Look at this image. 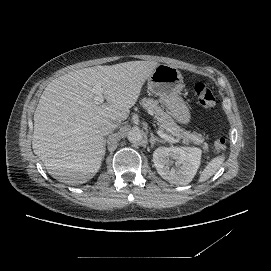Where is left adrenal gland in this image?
<instances>
[{"instance_id":"obj_1","label":"left adrenal gland","mask_w":271,"mask_h":271,"mask_svg":"<svg viewBox=\"0 0 271 271\" xmlns=\"http://www.w3.org/2000/svg\"><path fill=\"white\" fill-rule=\"evenodd\" d=\"M150 135H151V139H150L151 148H153L156 143H158V144L162 143V141H160L158 138H156L152 133Z\"/></svg>"}]
</instances>
